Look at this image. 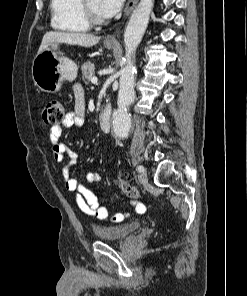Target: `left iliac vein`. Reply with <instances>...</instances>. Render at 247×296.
Listing matches in <instances>:
<instances>
[{"label": "left iliac vein", "mask_w": 247, "mask_h": 296, "mask_svg": "<svg viewBox=\"0 0 247 296\" xmlns=\"http://www.w3.org/2000/svg\"><path fill=\"white\" fill-rule=\"evenodd\" d=\"M138 178L142 184H144V185L147 184L148 179H147V173H146L145 169L142 172H140Z\"/></svg>", "instance_id": "4c4485c4"}]
</instances>
